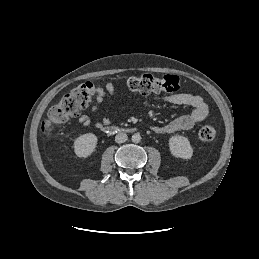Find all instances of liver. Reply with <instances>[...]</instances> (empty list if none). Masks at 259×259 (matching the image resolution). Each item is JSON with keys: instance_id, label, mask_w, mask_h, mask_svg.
Listing matches in <instances>:
<instances>
[{"instance_id": "obj_1", "label": "liver", "mask_w": 259, "mask_h": 259, "mask_svg": "<svg viewBox=\"0 0 259 259\" xmlns=\"http://www.w3.org/2000/svg\"><path fill=\"white\" fill-rule=\"evenodd\" d=\"M46 125H47V127H50L51 126V122L49 120H47ZM47 137H50L49 134H47Z\"/></svg>"}]
</instances>
